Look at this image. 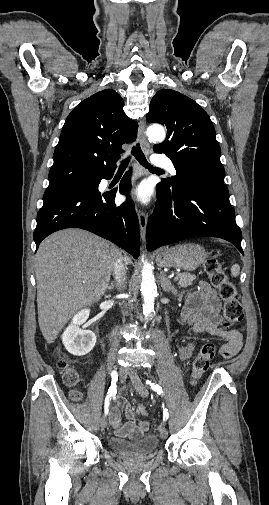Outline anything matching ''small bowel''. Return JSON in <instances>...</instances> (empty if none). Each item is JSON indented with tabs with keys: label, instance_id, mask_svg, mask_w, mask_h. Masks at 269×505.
Masks as SVG:
<instances>
[{
	"label": "small bowel",
	"instance_id": "obj_1",
	"mask_svg": "<svg viewBox=\"0 0 269 505\" xmlns=\"http://www.w3.org/2000/svg\"><path fill=\"white\" fill-rule=\"evenodd\" d=\"M181 319L197 335L207 334L226 339L227 342L220 349L224 358L235 356L243 345L241 331H226L221 328L220 302L214 290L205 281H201L198 289L187 296ZM196 345L197 341L192 340L182 347L179 354L180 359L182 361L189 359ZM124 407L127 422H122L119 406L115 405L110 414L111 427L118 437L137 439L149 428L150 423L147 421L137 423L131 405L126 402Z\"/></svg>",
	"mask_w": 269,
	"mask_h": 505
}]
</instances>
